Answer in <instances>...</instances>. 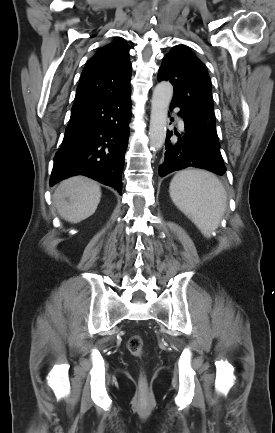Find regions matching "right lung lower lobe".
Listing matches in <instances>:
<instances>
[{"label":"right lung lower lobe","instance_id":"right-lung-lower-lobe-1","mask_svg":"<svg viewBox=\"0 0 275 433\" xmlns=\"http://www.w3.org/2000/svg\"><path fill=\"white\" fill-rule=\"evenodd\" d=\"M130 115V92L72 108L63 142L55 154L50 186L84 175L122 194Z\"/></svg>","mask_w":275,"mask_h":433}]
</instances>
